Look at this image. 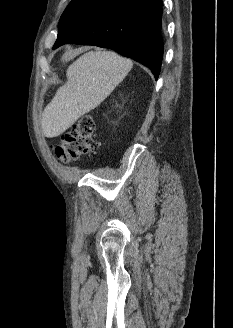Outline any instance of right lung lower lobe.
<instances>
[{
    "mask_svg": "<svg viewBox=\"0 0 233 328\" xmlns=\"http://www.w3.org/2000/svg\"><path fill=\"white\" fill-rule=\"evenodd\" d=\"M53 49L65 44L110 48L148 67L163 58L162 0H93L59 22Z\"/></svg>",
    "mask_w": 233,
    "mask_h": 328,
    "instance_id": "98d812e1",
    "label": "right lung lower lobe"
}]
</instances>
